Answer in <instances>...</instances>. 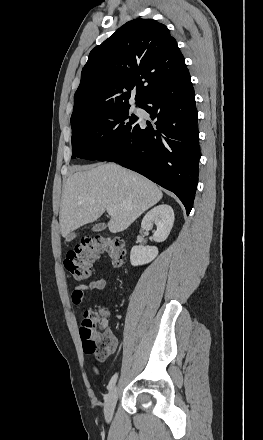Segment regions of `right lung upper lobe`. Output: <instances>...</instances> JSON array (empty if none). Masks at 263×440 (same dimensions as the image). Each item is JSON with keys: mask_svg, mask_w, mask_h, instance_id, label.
Returning <instances> with one entry per match:
<instances>
[{"mask_svg": "<svg viewBox=\"0 0 263 440\" xmlns=\"http://www.w3.org/2000/svg\"><path fill=\"white\" fill-rule=\"evenodd\" d=\"M187 70L167 27L152 19H134L89 54L74 95L71 123L106 108L136 103Z\"/></svg>", "mask_w": 263, "mask_h": 440, "instance_id": "obj_1", "label": "right lung upper lobe"}]
</instances>
